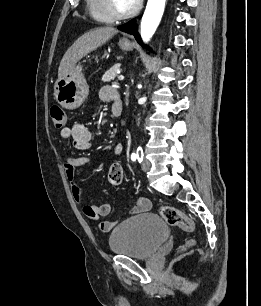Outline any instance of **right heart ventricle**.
<instances>
[{"label":"right heart ventricle","instance_id":"e07e8e85","mask_svg":"<svg viewBox=\"0 0 261 306\" xmlns=\"http://www.w3.org/2000/svg\"><path fill=\"white\" fill-rule=\"evenodd\" d=\"M89 15L99 23H111L113 18L108 13L105 0H86Z\"/></svg>","mask_w":261,"mask_h":306}]
</instances>
